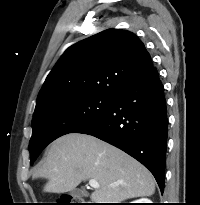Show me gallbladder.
<instances>
[{"mask_svg": "<svg viewBox=\"0 0 200 205\" xmlns=\"http://www.w3.org/2000/svg\"><path fill=\"white\" fill-rule=\"evenodd\" d=\"M71 196L75 197V198H79V197H82V196H86L87 195V192L83 191V190H80V189H73L71 192H70Z\"/></svg>", "mask_w": 200, "mask_h": 205, "instance_id": "bac80fb5", "label": "gallbladder"}]
</instances>
